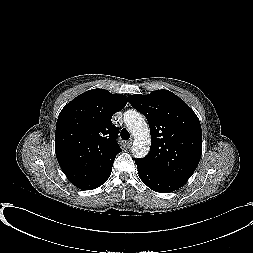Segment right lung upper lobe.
Wrapping results in <instances>:
<instances>
[{
	"label": "right lung upper lobe",
	"instance_id": "cb5924a9",
	"mask_svg": "<svg viewBox=\"0 0 253 253\" xmlns=\"http://www.w3.org/2000/svg\"><path fill=\"white\" fill-rule=\"evenodd\" d=\"M127 104L121 94L104 89L86 91L69 102L56 124L55 152L58 163L75 186L108 172L122 151L118 128L111 118Z\"/></svg>",
	"mask_w": 253,
	"mask_h": 253
}]
</instances>
